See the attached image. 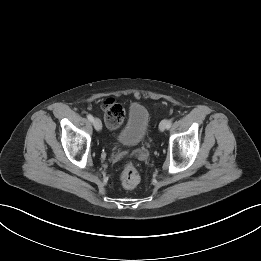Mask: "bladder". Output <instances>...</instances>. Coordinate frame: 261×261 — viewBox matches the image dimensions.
Masks as SVG:
<instances>
[{"mask_svg": "<svg viewBox=\"0 0 261 261\" xmlns=\"http://www.w3.org/2000/svg\"><path fill=\"white\" fill-rule=\"evenodd\" d=\"M150 114L147 108L139 103L129 107L127 119L117 133V141L127 147L141 144L149 131Z\"/></svg>", "mask_w": 261, "mask_h": 261, "instance_id": "bladder-1", "label": "bladder"}]
</instances>
